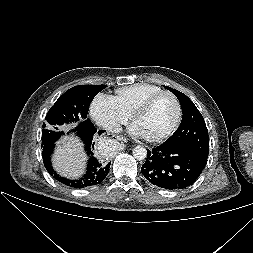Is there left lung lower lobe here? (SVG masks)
Returning <instances> with one entry per match:
<instances>
[{
  "mask_svg": "<svg viewBox=\"0 0 253 253\" xmlns=\"http://www.w3.org/2000/svg\"><path fill=\"white\" fill-rule=\"evenodd\" d=\"M146 162L141 167L144 177L153 185L168 189H184L192 185L204 169L207 158L188 147L162 144L147 149Z\"/></svg>",
  "mask_w": 253,
  "mask_h": 253,
  "instance_id": "1",
  "label": "left lung lower lobe"
}]
</instances>
